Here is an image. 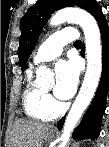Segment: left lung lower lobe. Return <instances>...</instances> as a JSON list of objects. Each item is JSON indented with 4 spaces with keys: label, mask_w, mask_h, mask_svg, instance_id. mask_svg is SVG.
<instances>
[{
    "label": "left lung lower lobe",
    "mask_w": 109,
    "mask_h": 147,
    "mask_svg": "<svg viewBox=\"0 0 109 147\" xmlns=\"http://www.w3.org/2000/svg\"><path fill=\"white\" fill-rule=\"evenodd\" d=\"M91 14L96 19L101 32L103 69L95 97L84 114L80 125L73 132V138L79 140L96 139L98 137L102 113L106 107V95L109 90V27L99 5L92 10ZM82 55L84 56V52H82ZM63 123L64 118L58 122V129H62Z\"/></svg>",
    "instance_id": "0a47b994"
}]
</instances>
